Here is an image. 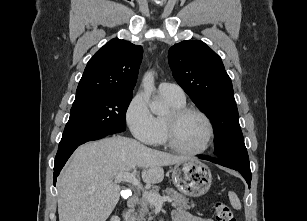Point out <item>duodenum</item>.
Returning a JSON list of instances; mask_svg holds the SVG:
<instances>
[{
  "label": "duodenum",
  "mask_w": 307,
  "mask_h": 221,
  "mask_svg": "<svg viewBox=\"0 0 307 221\" xmlns=\"http://www.w3.org/2000/svg\"><path fill=\"white\" fill-rule=\"evenodd\" d=\"M138 204V198L136 196H132L128 199L126 208L122 214L123 221H130L131 212L135 209Z\"/></svg>",
  "instance_id": "1"
}]
</instances>
